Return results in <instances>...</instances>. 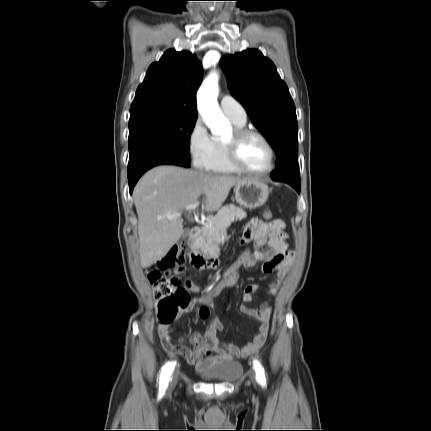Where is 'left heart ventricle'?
<instances>
[{"mask_svg": "<svg viewBox=\"0 0 431 431\" xmlns=\"http://www.w3.org/2000/svg\"><path fill=\"white\" fill-rule=\"evenodd\" d=\"M232 133L226 138L229 139ZM242 162L251 169L262 170L270 164V153L266 145L256 136L245 138L239 148Z\"/></svg>", "mask_w": 431, "mask_h": 431, "instance_id": "b2bd125f", "label": "left heart ventricle"}]
</instances>
